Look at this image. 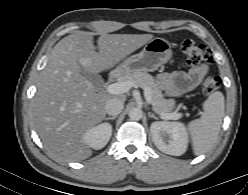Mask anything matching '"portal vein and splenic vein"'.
<instances>
[{"mask_svg": "<svg viewBox=\"0 0 248 195\" xmlns=\"http://www.w3.org/2000/svg\"><path fill=\"white\" fill-rule=\"evenodd\" d=\"M132 87H137V85L132 82V81H125V82H116V83H112L106 86V92L110 93V94H123V93H127ZM144 97L147 101L148 104H151L152 102V95H151V91L149 90L148 87H144ZM161 117L163 119H179L182 117L181 113H170V114H162Z\"/></svg>", "mask_w": 248, "mask_h": 195, "instance_id": "18ae733b", "label": "portal vein and splenic vein"}]
</instances>
